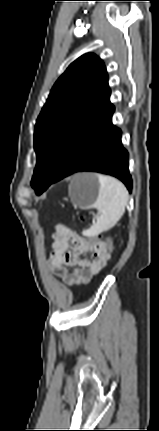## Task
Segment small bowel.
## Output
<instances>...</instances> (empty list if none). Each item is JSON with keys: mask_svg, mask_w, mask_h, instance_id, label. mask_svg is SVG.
<instances>
[{"mask_svg": "<svg viewBox=\"0 0 159 431\" xmlns=\"http://www.w3.org/2000/svg\"><path fill=\"white\" fill-rule=\"evenodd\" d=\"M90 253L92 259L81 256ZM111 251L101 241L84 239L77 232L57 226L53 234L50 264L55 275L68 286L87 284L111 260Z\"/></svg>", "mask_w": 159, "mask_h": 431, "instance_id": "1", "label": "small bowel"}]
</instances>
